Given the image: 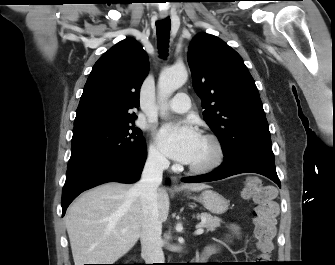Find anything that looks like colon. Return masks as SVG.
I'll list each match as a JSON object with an SVG mask.
<instances>
[{
  "label": "colon",
  "mask_w": 335,
  "mask_h": 265,
  "mask_svg": "<svg viewBox=\"0 0 335 265\" xmlns=\"http://www.w3.org/2000/svg\"><path fill=\"white\" fill-rule=\"evenodd\" d=\"M243 196L252 199L255 206V237L259 255L258 265H269L270 254L273 251L275 237L276 216L278 208L274 202L275 192L272 187L264 185L257 177H249L243 189Z\"/></svg>",
  "instance_id": "5ec220e1"
}]
</instances>
